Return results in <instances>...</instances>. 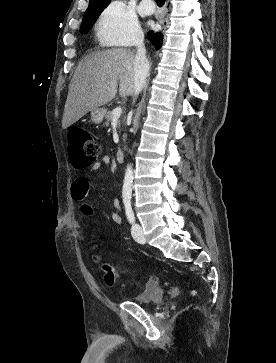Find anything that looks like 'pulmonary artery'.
<instances>
[{"label": "pulmonary artery", "mask_w": 276, "mask_h": 363, "mask_svg": "<svg viewBox=\"0 0 276 363\" xmlns=\"http://www.w3.org/2000/svg\"><path fill=\"white\" fill-rule=\"evenodd\" d=\"M141 9L142 12L147 15L152 14L154 12V6L148 0H143L141 2Z\"/></svg>", "instance_id": "obj_1"}]
</instances>
